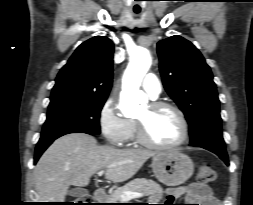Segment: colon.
Listing matches in <instances>:
<instances>
[{
    "label": "colon",
    "mask_w": 253,
    "mask_h": 205,
    "mask_svg": "<svg viewBox=\"0 0 253 205\" xmlns=\"http://www.w3.org/2000/svg\"><path fill=\"white\" fill-rule=\"evenodd\" d=\"M215 171L212 169L211 165L208 162L200 163L198 167L197 178L199 183L205 184L215 180ZM91 198L89 196H84L77 198L74 202V205H91Z\"/></svg>",
    "instance_id": "1"
}]
</instances>
